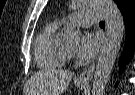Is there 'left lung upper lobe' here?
Instances as JSON below:
<instances>
[{"instance_id":"1","label":"left lung upper lobe","mask_w":135,"mask_h":95,"mask_svg":"<svg viewBox=\"0 0 135 95\" xmlns=\"http://www.w3.org/2000/svg\"><path fill=\"white\" fill-rule=\"evenodd\" d=\"M114 1L119 7L120 11L129 8L134 3V0H114Z\"/></svg>"}]
</instances>
